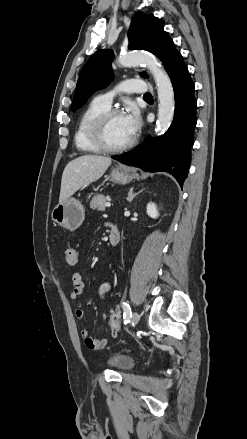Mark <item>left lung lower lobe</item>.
<instances>
[{
  "mask_svg": "<svg viewBox=\"0 0 247 439\" xmlns=\"http://www.w3.org/2000/svg\"><path fill=\"white\" fill-rule=\"evenodd\" d=\"M169 76L174 88L175 111L168 131L155 139L147 137L135 151L112 158L147 172H168L183 186L189 172L193 131L197 123L195 86L183 59Z\"/></svg>",
  "mask_w": 247,
  "mask_h": 439,
  "instance_id": "obj_1",
  "label": "left lung lower lobe"
}]
</instances>
